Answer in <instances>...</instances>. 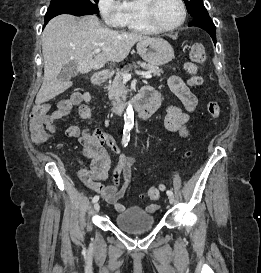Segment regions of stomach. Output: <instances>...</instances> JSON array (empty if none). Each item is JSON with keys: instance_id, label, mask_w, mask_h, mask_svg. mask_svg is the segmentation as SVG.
I'll return each instance as SVG.
<instances>
[{"instance_id": "1", "label": "stomach", "mask_w": 261, "mask_h": 273, "mask_svg": "<svg viewBox=\"0 0 261 273\" xmlns=\"http://www.w3.org/2000/svg\"><path fill=\"white\" fill-rule=\"evenodd\" d=\"M137 52L151 65L161 66L174 58L172 46L162 38H149L137 43Z\"/></svg>"}]
</instances>
